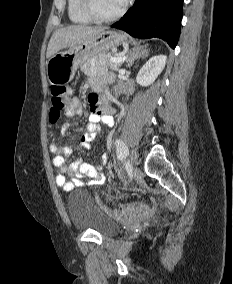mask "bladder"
I'll list each match as a JSON object with an SVG mask.
<instances>
[{
	"mask_svg": "<svg viewBox=\"0 0 233 284\" xmlns=\"http://www.w3.org/2000/svg\"><path fill=\"white\" fill-rule=\"evenodd\" d=\"M67 211L72 225L78 230H91L103 237L118 233L119 224L110 218L86 190L77 189L67 197Z\"/></svg>",
	"mask_w": 233,
	"mask_h": 284,
	"instance_id": "bladder-1",
	"label": "bladder"
}]
</instances>
